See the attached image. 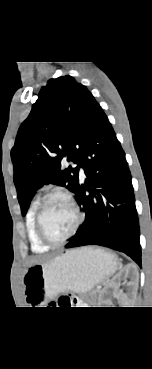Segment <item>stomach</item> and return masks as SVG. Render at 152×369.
<instances>
[{
  "label": "stomach",
  "instance_id": "obj_1",
  "mask_svg": "<svg viewBox=\"0 0 152 369\" xmlns=\"http://www.w3.org/2000/svg\"><path fill=\"white\" fill-rule=\"evenodd\" d=\"M116 269L114 256L100 249L67 251L49 262L36 263L26 269L23 277L26 301L35 305L63 292H89Z\"/></svg>",
  "mask_w": 152,
  "mask_h": 369
}]
</instances>
